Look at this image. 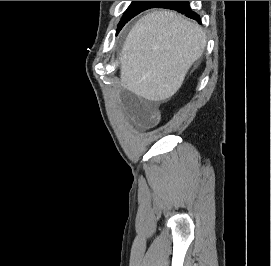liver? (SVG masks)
<instances>
[{"instance_id": "obj_1", "label": "liver", "mask_w": 271, "mask_h": 266, "mask_svg": "<svg viewBox=\"0 0 271 266\" xmlns=\"http://www.w3.org/2000/svg\"><path fill=\"white\" fill-rule=\"evenodd\" d=\"M202 27L172 11H154L130 30L120 54V84L151 101L172 97L206 47Z\"/></svg>"}]
</instances>
